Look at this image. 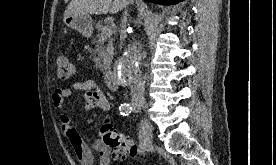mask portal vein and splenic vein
I'll return each mask as SVG.
<instances>
[{
	"mask_svg": "<svg viewBox=\"0 0 276 165\" xmlns=\"http://www.w3.org/2000/svg\"><path fill=\"white\" fill-rule=\"evenodd\" d=\"M102 34L108 37L111 36L113 34V25L103 27Z\"/></svg>",
	"mask_w": 276,
	"mask_h": 165,
	"instance_id": "portal-vein-and-splenic-vein-1",
	"label": "portal vein and splenic vein"
}]
</instances>
